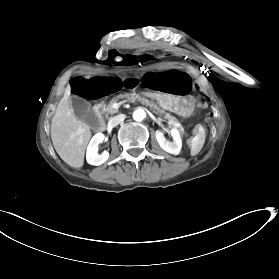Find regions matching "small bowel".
<instances>
[{
    "label": "small bowel",
    "instance_id": "c3829d8e",
    "mask_svg": "<svg viewBox=\"0 0 279 279\" xmlns=\"http://www.w3.org/2000/svg\"><path fill=\"white\" fill-rule=\"evenodd\" d=\"M142 86L152 93L184 95L191 85L190 77L176 69L146 73L141 78Z\"/></svg>",
    "mask_w": 279,
    "mask_h": 279
}]
</instances>
